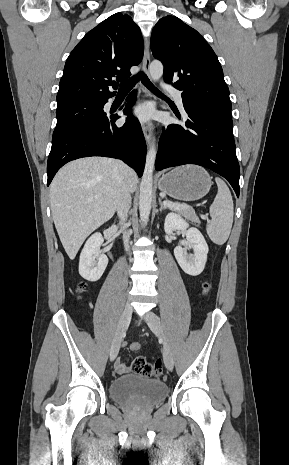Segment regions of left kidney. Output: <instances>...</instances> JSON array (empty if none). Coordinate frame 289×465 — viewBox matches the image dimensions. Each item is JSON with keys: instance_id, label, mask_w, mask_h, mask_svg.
Returning a JSON list of instances; mask_svg holds the SVG:
<instances>
[{"instance_id": "left-kidney-1", "label": "left kidney", "mask_w": 289, "mask_h": 465, "mask_svg": "<svg viewBox=\"0 0 289 465\" xmlns=\"http://www.w3.org/2000/svg\"><path fill=\"white\" fill-rule=\"evenodd\" d=\"M164 230L167 234H172L176 230L185 233L188 247L193 250V254H187L186 248L177 246L174 249L175 258L182 270L191 276L202 273L207 262L208 245L204 236L195 227H189L179 214L170 212L167 214L164 223Z\"/></svg>"}]
</instances>
